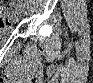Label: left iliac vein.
<instances>
[{"label": "left iliac vein", "mask_w": 93, "mask_h": 83, "mask_svg": "<svg viewBox=\"0 0 93 83\" xmlns=\"http://www.w3.org/2000/svg\"><path fill=\"white\" fill-rule=\"evenodd\" d=\"M27 11H28V10H27L26 8L23 9V13H24V14H27Z\"/></svg>", "instance_id": "4c4485c4"}]
</instances>
